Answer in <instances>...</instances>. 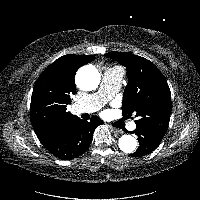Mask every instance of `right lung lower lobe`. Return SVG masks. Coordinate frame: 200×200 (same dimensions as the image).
<instances>
[{
    "label": "right lung lower lobe",
    "mask_w": 200,
    "mask_h": 200,
    "mask_svg": "<svg viewBox=\"0 0 200 200\" xmlns=\"http://www.w3.org/2000/svg\"><path fill=\"white\" fill-rule=\"evenodd\" d=\"M101 124L103 122L97 116H93L89 122L77 117L56 128L41 143L59 159L71 160L88 149L96 126Z\"/></svg>",
    "instance_id": "1"
}]
</instances>
